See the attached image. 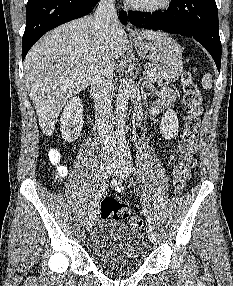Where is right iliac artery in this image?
<instances>
[{
    "label": "right iliac artery",
    "instance_id": "82829eb1",
    "mask_svg": "<svg viewBox=\"0 0 233 286\" xmlns=\"http://www.w3.org/2000/svg\"><path fill=\"white\" fill-rule=\"evenodd\" d=\"M108 176L107 177H104L101 184H100V188L99 190L97 191V194L94 198V200L91 202V205L89 207V212L88 214L90 216H92V214L95 212V208L97 207L98 205V202L100 201V198L102 197V195L104 194V192L106 191L107 189V186H108Z\"/></svg>",
    "mask_w": 233,
    "mask_h": 286
}]
</instances>
